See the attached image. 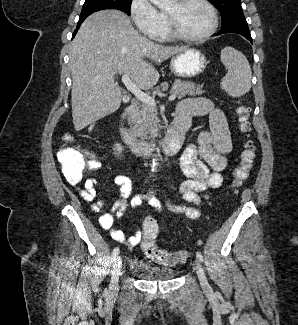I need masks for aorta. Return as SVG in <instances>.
<instances>
[{"label":"aorta","mask_w":298,"mask_h":325,"mask_svg":"<svg viewBox=\"0 0 298 325\" xmlns=\"http://www.w3.org/2000/svg\"><path fill=\"white\" fill-rule=\"evenodd\" d=\"M152 4H156L161 10H166V8H172L177 4V0H150ZM158 167V158H153L151 171H156Z\"/></svg>","instance_id":"762f6f07"}]
</instances>
